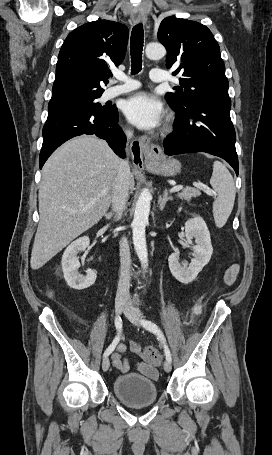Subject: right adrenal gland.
<instances>
[{
  "label": "right adrenal gland",
  "instance_id": "2a0ac1e0",
  "mask_svg": "<svg viewBox=\"0 0 272 455\" xmlns=\"http://www.w3.org/2000/svg\"><path fill=\"white\" fill-rule=\"evenodd\" d=\"M106 219L110 220L112 218V212L105 214Z\"/></svg>",
  "mask_w": 272,
  "mask_h": 455
}]
</instances>
